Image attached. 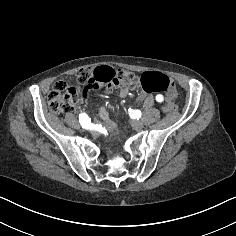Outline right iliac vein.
Segmentation results:
<instances>
[{
    "mask_svg": "<svg viewBox=\"0 0 236 236\" xmlns=\"http://www.w3.org/2000/svg\"><path fill=\"white\" fill-rule=\"evenodd\" d=\"M90 135H95V130H90Z\"/></svg>",
    "mask_w": 236,
    "mask_h": 236,
    "instance_id": "obj_1",
    "label": "right iliac vein"
}]
</instances>
